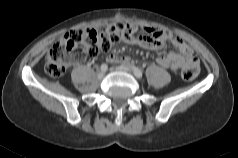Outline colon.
Listing matches in <instances>:
<instances>
[{
  "label": "colon",
  "instance_id": "colon-1",
  "mask_svg": "<svg viewBox=\"0 0 238 158\" xmlns=\"http://www.w3.org/2000/svg\"><path fill=\"white\" fill-rule=\"evenodd\" d=\"M133 34L132 25L123 22L96 29H73L50 48L45 61V72L50 77H60L72 63L106 52L113 44L131 39ZM198 73L199 66L191 65L182 70L181 76L184 80L191 81Z\"/></svg>",
  "mask_w": 238,
  "mask_h": 158
}]
</instances>
